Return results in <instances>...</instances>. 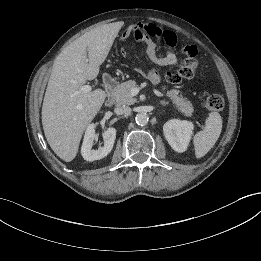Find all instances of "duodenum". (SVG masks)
I'll list each match as a JSON object with an SVG mask.
<instances>
[{
    "label": "duodenum",
    "mask_w": 261,
    "mask_h": 261,
    "mask_svg": "<svg viewBox=\"0 0 261 261\" xmlns=\"http://www.w3.org/2000/svg\"><path fill=\"white\" fill-rule=\"evenodd\" d=\"M103 86L107 93V105H112L115 97V90L117 87V81L110 74H105L103 77Z\"/></svg>",
    "instance_id": "1"
}]
</instances>
